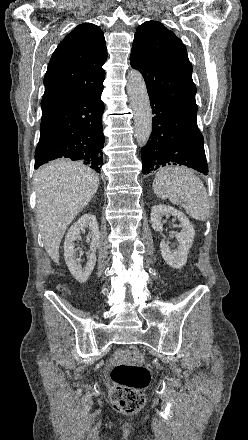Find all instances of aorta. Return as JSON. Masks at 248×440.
<instances>
[{
  "label": "aorta",
  "mask_w": 248,
  "mask_h": 440,
  "mask_svg": "<svg viewBox=\"0 0 248 440\" xmlns=\"http://www.w3.org/2000/svg\"><path fill=\"white\" fill-rule=\"evenodd\" d=\"M127 93L134 114L137 143L145 146L152 132V111L145 81L137 70H131L128 73Z\"/></svg>",
  "instance_id": "obj_1"
}]
</instances>
